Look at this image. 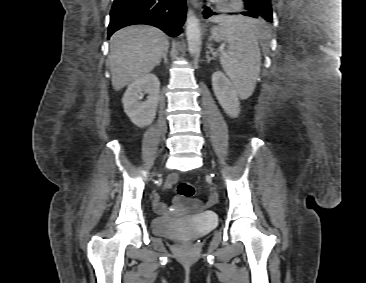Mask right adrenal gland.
Here are the masks:
<instances>
[{
  "label": "right adrenal gland",
  "mask_w": 366,
  "mask_h": 283,
  "mask_svg": "<svg viewBox=\"0 0 366 283\" xmlns=\"http://www.w3.org/2000/svg\"><path fill=\"white\" fill-rule=\"evenodd\" d=\"M167 53L168 52H166L163 56H162V59L164 60V63H167ZM160 62H161V60H160ZM160 62L157 64V65H159L160 64Z\"/></svg>",
  "instance_id": "right-adrenal-gland-1"
}]
</instances>
